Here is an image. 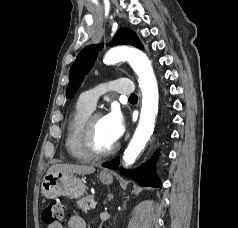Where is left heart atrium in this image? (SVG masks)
<instances>
[{
  "mask_svg": "<svg viewBox=\"0 0 238 228\" xmlns=\"http://www.w3.org/2000/svg\"><path fill=\"white\" fill-rule=\"evenodd\" d=\"M103 119L109 135L116 142L125 132V121L123 115L119 110L112 109L103 117Z\"/></svg>",
  "mask_w": 238,
  "mask_h": 228,
  "instance_id": "39dd6f15",
  "label": "left heart atrium"
}]
</instances>
